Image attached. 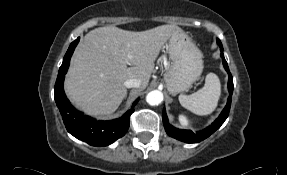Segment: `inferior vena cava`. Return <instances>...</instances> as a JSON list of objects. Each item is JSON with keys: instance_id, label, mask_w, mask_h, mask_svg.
<instances>
[{"instance_id": "obj_1", "label": "inferior vena cava", "mask_w": 287, "mask_h": 175, "mask_svg": "<svg viewBox=\"0 0 287 175\" xmlns=\"http://www.w3.org/2000/svg\"><path fill=\"white\" fill-rule=\"evenodd\" d=\"M127 88H139L141 86V81L137 78H130L124 82Z\"/></svg>"}]
</instances>
